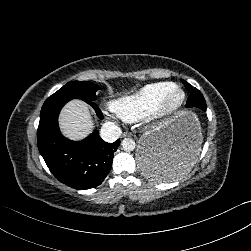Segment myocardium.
<instances>
[{
    "mask_svg": "<svg viewBox=\"0 0 251 251\" xmlns=\"http://www.w3.org/2000/svg\"><path fill=\"white\" fill-rule=\"evenodd\" d=\"M171 87L182 94V101L180 105L173 111H166L165 107L171 97V93L167 90L165 91L155 107L149 113V117L160 125L168 124L174 121L178 116H180L186 105H187V93L179 85L172 83Z\"/></svg>",
    "mask_w": 251,
    "mask_h": 251,
    "instance_id": "1",
    "label": "myocardium"
}]
</instances>
